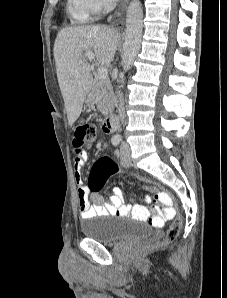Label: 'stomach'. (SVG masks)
<instances>
[{
  "instance_id": "stomach-1",
  "label": "stomach",
  "mask_w": 227,
  "mask_h": 298,
  "mask_svg": "<svg viewBox=\"0 0 227 298\" xmlns=\"http://www.w3.org/2000/svg\"><path fill=\"white\" fill-rule=\"evenodd\" d=\"M85 103H86L87 105H91V104L93 103V95H92V94H89V95L86 97Z\"/></svg>"
}]
</instances>
